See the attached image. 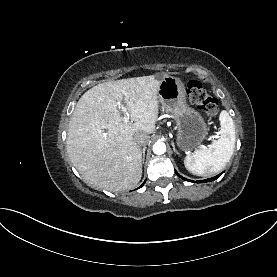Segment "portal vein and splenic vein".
Masks as SVG:
<instances>
[{"mask_svg":"<svg viewBox=\"0 0 277 277\" xmlns=\"http://www.w3.org/2000/svg\"><path fill=\"white\" fill-rule=\"evenodd\" d=\"M117 106H118V108L119 109H121V111L123 112V114H124V117H123V122L125 123V124H127L128 122H129V112L127 111V108L126 107H124L122 104H121V102H117Z\"/></svg>","mask_w":277,"mask_h":277,"instance_id":"portal-vein-and-splenic-vein-1","label":"portal vein and splenic vein"}]
</instances>
